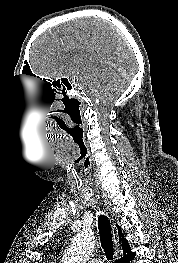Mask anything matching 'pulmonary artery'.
I'll use <instances>...</instances> for the list:
<instances>
[{
    "mask_svg": "<svg viewBox=\"0 0 178 263\" xmlns=\"http://www.w3.org/2000/svg\"><path fill=\"white\" fill-rule=\"evenodd\" d=\"M88 262L89 263H104V261L100 257L91 258Z\"/></svg>",
    "mask_w": 178,
    "mask_h": 263,
    "instance_id": "obj_1",
    "label": "pulmonary artery"
}]
</instances>
